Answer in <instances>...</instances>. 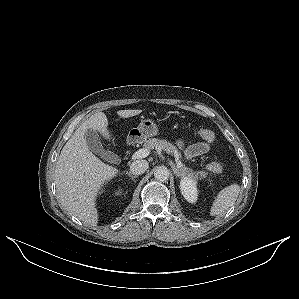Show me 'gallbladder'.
<instances>
[{"label": "gallbladder", "mask_w": 299, "mask_h": 299, "mask_svg": "<svg viewBox=\"0 0 299 299\" xmlns=\"http://www.w3.org/2000/svg\"><path fill=\"white\" fill-rule=\"evenodd\" d=\"M85 140L88 148L95 154L99 155L105 161L114 162L117 160L118 157L116 154L104 149L97 131L93 129L86 130Z\"/></svg>", "instance_id": "gallbladder-1"}]
</instances>
